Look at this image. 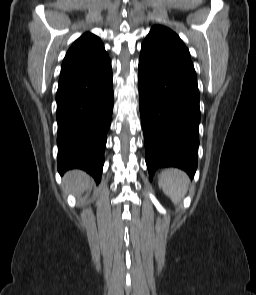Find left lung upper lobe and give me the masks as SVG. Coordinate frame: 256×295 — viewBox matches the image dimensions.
<instances>
[{
  "instance_id": "1",
  "label": "left lung upper lobe",
  "mask_w": 256,
  "mask_h": 295,
  "mask_svg": "<svg viewBox=\"0 0 256 295\" xmlns=\"http://www.w3.org/2000/svg\"><path fill=\"white\" fill-rule=\"evenodd\" d=\"M139 64L177 83L198 89L190 53L172 30L153 26L142 47Z\"/></svg>"
}]
</instances>
